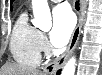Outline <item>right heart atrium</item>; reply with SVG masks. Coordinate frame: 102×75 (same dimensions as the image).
<instances>
[{"label":"right heart atrium","instance_id":"1","mask_svg":"<svg viewBox=\"0 0 102 75\" xmlns=\"http://www.w3.org/2000/svg\"><path fill=\"white\" fill-rule=\"evenodd\" d=\"M40 48H41V52H43L44 54H48L50 51L49 44L44 35H41L40 37Z\"/></svg>","mask_w":102,"mask_h":75}]
</instances>
